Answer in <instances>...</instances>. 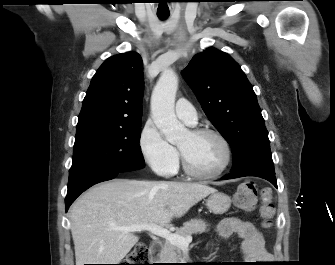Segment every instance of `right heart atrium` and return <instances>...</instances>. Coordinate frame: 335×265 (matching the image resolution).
I'll return each instance as SVG.
<instances>
[{
    "instance_id": "obj_1",
    "label": "right heart atrium",
    "mask_w": 335,
    "mask_h": 265,
    "mask_svg": "<svg viewBox=\"0 0 335 265\" xmlns=\"http://www.w3.org/2000/svg\"><path fill=\"white\" fill-rule=\"evenodd\" d=\"M139 148L145 162L156 174L169 176L176 171L178 153L151 120L141 130Z\"/></svg>"
}]
</instances>
